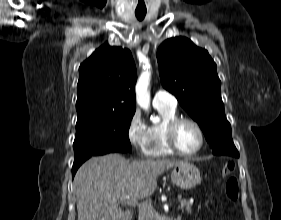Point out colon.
<instances>
[{
    "label": "colon",
    "instance_id": "colon-1",
    "mask_svg": "<svg viewBox=\"0 0 281 220\" xmlns=\"http://www.w3.org/2000/svg\"><path fill=\"white\" fill-rule=\"evenodd\" d=\"M234 171V164L231 162H228L224 165L222 169V175L227 177L226 183H225V194L231 201H236L239 196V184L236 179L232 175Z\"/></svg>",
    "mask_w": 281,
    "mask_h": 220
}]
</instances>
